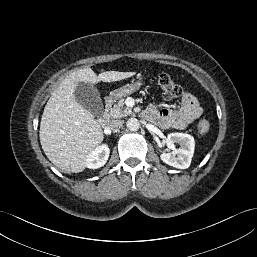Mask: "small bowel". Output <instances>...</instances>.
<instances>
[{"label": "small bowel", "mask_w": 257, "mask_h": 257, "mask_svg": "<svg viewBox=\"0 0 257 257\" xmlns=\"http://www.w3.org/2000/svg\"><path fill=\"white\" fill-rule=\"evenodd\" d=\"M202 112L197 98L189 92L183 93L181 101L174 109L157 108L154 105H148L144 109V115L161 128L177 130L187 128Z\"/></svg>", "instance_id": "obj_1"}]
</instances>
